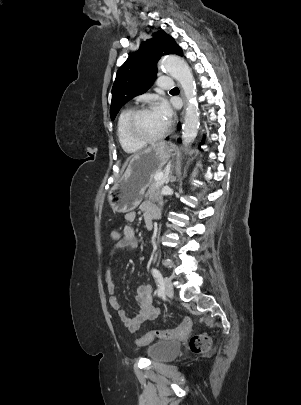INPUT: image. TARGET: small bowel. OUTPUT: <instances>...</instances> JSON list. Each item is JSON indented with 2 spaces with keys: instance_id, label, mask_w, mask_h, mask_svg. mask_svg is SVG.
<instances>
[{
  "instance_id": "obj_1",
  "label": "small bowel",
  "mask_w": 301,
  "mask_h": 405,
  "mask_svg": "<svg viewBox=\"0 0 301 405\" xmlns=\"http://www.w3.org/2000/svg\"><path fill=\"white\" fill-rule=\"evenodd\" d=\"M140 212L144 216L145 221H152L160 217L159 207L151 201H145L140 205ZM138 213L131 211L126 213L125 219L127 222L136 220ZM137 247V238L134 229L131 225H126L123 232L118 235V242L113 244L111 256H116L120 251L125 249H135ZM106 288L110 294L109 304L118 312L119 318L123 324L132 332L145 322L156 318L159 313L158 308L154 305L152 288L148 284H142L138 287L136 302L140 310L135 317H129L121 308L118 297L116 296V286L112 276L111 268L108 269L105 277Z\"/></svg>"
}]
</instances>
